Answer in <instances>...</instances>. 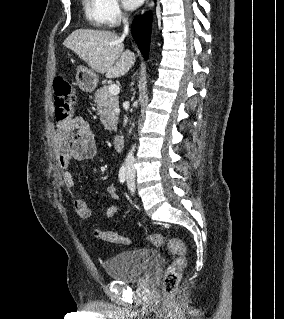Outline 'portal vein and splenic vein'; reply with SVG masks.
I'll return each instance as SVG.
<instances>
[{"mask_svg": "<svg viewBox=\"0 0 284 319\" xmlns=\"http://www.w3.org/2000/svg\"><path fill=\"white\" fill-rule=\"evenodd\" d=\"M108 91L110 94L112 95H118L120 93V88L118 85L116 84H111L109 87H108Z\"/></svg>", "mask_w": 284, "mask_h": 319, "instance_id": "obj_1", "label": "portal vein and splenic vein"}]
</instances>
